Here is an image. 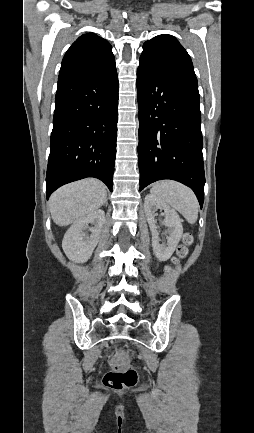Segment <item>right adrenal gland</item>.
Listing matches in <instances>:
<instances>
[{"label":"right adrenal gland","instance_id":"2a0ac1e0","mask_svg":"<svg viewBox=\"0 0 254 433\" xmlns=\"http://www.w3.org/2000/svg\"><path fill=\"white\" fill-rule=\"evenodd\" d=\"M105 206H107V201L105 202Z\"/></svg>","mask_w":254,"mask_h":433}]
</instances>
